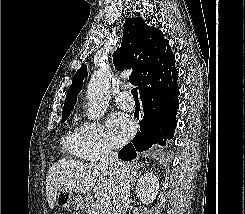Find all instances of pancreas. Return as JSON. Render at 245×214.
<instances>
[{
    "label": "pancreas",
    "mask_w": 245,
    "mask_h": 214,
    "mask_svg": "<svg viewBox=\"0 0 245 214\" xmlns=\"http://www.w3.org/2000/svg\"><path fill=\"white\" fill-rule=\"evenodd\" d=\"M90 211V214H113L112 207L110 205L108 207H102L100 199L92 202Z\"/></svg>",
    "instance_id": "pancreas-1"
}]
</instances>
